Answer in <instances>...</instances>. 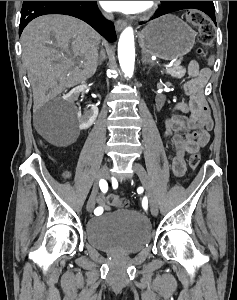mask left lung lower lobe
<instances>
[{"instance_id": "0a47b994", "label": "left lung lower lobe", "mask_w": 237, "mask_h": 300, "mask_svg": "<svg viewBox=\"0 0 237 300\" xmlns=\"http://www.w3.org/2000/svg\"><path fill=\"white\" fill-rule=\"evenodd\" d=\"M165 9L166 11L158 14L157 17L182 9H198L206 13L216 25L213 1H171L165 6Z\"/></svg>"}]
</instances>
